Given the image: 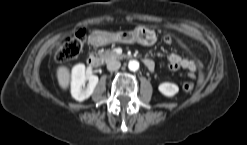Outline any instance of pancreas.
I'll use <instances>...</instances> for the list:
<instances>
[{"instance_id":"1","label":"pancreas","mask_w":247,"mask_h":145,"mask_svg":"<svg viewBox=\"0 0 247 145\" xmlns=\"http://www.w3.org/2000/svg\"><path fill=\"white\" fill-rule=\"evenodd\" d=\"M99 57L103 62H109L112 59H118L120 56L112 50H105L99 53Z\"/></svg>"}]
</instances>
